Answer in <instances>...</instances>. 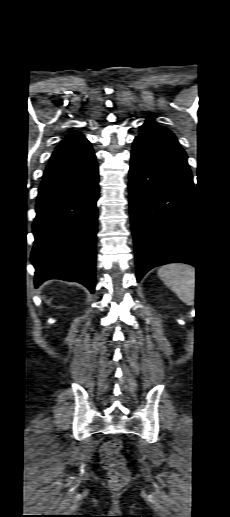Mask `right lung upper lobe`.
<instances>
[{
	"mask_svg": "<svg viewBox=\"0 0 230 517\" xmlns=\"http://www.w3.org/2000/svg\"><path fill=\"white\" fill-rule=\"evenodd\" d=\"M95 162L89 141L79 132L69 133L53 152L42 183L72 176Z\"/></svg>",
	"mask_w": 230,
	"mask_h": 517,
	"instance_id": "right-lung-upper-lobe-1",
	"label": "right lung upper lobe"
}]
</instances>
